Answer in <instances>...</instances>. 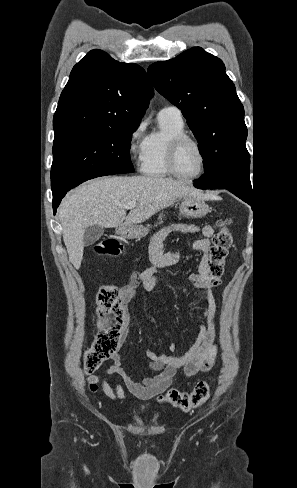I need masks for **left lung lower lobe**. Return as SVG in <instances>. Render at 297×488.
I'll use <instances>...</instances> for the list:
<instances>
[{"instance_id": "0a47b994", "label": "left lung lower lobe", "mask_w": 297, "mask_h": 488, "mask_svg": "<svg viewBox=\"0 0 297 488\" xmlns=\"http://www.w3.org/2000/svg\"><path fill=\"white\" fill-rule=\"evenodd\" d=\"M227 189V188H225ZM229 190L230 192H232L234 195H236L237 197H239L240 199H242L243 201H245L246 203H248L249 205H251V203H253V197L252 195L251 196H247V195H243L235 190H232V189H227Z\"/></svg>"}]
</instances>
